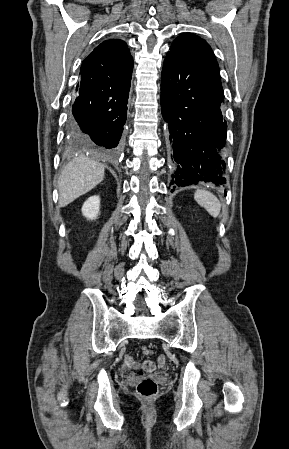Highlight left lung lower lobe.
<instances>
[{
    "instance_id": "obj_1",
    "label": "left lung lower lobe",
    "mask_w": 289,
    "mask_h": 449,
    "mask_svg": "<svg viewBox=\"0 0 289 449\" xmlns=\"http://www.w3.org/2000/svg\"><path fill=\"white\" fill-rule=\"evenodd\" d=\"M223 98L219 72L210 64L195 56L168 52L161 75V110L168 126L173 188L198 182L226 183Z\"/></svg>"
}]
</instances>
